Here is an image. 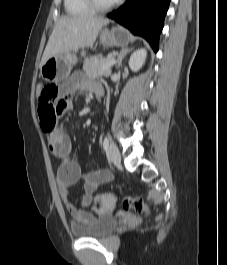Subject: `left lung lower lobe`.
Wrapping results in <instances>:
<instances>
[{
    "instance_id": "1",
    "label": "left lung lower lobe",
    "mask_w": 227,
    "mask_h": 265,
    "mask_svg": "<svg viewBox=\"0 0 227 265\" xmlns=\"http://www.w3.org/2000/svg\"><path fill=\"white\" fill-rule=\"evenodd\" d=\"M170 0H127L108 16L144 37L155 52Z\"/></svg>"
}]
</instances>
